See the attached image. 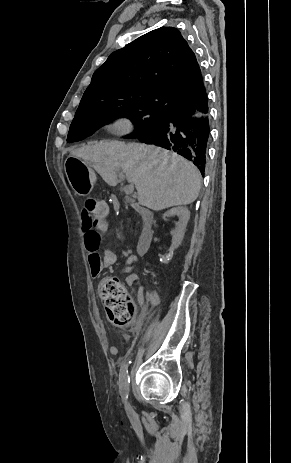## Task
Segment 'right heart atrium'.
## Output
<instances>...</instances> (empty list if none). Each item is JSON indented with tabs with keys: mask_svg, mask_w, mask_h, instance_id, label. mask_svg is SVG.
Wrapping results in <instances>:
<instances>
[{
	"mask_svg": "<svg viewBox=\"0 0 291 463\" xmlns=\"http://www.w3.org/2000/svg\"><path fill=\"white\" fill-rule=\"evenodd\" d=\"M131 122L127 117H119L115 119L110 125L109 129L116 134H124L131 130Z\"/></svg>",
	"mask_w": 291,
	"mask_h": 463,
	"instance_id": "1",
	"label": "right heart atrium"
}]
</instances>
